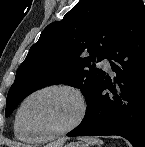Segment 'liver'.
<instances>
[{
	"mask_svg": "<svg viewBox=\"0 0 145 147\" xmlns=\"http://www.w3.org/2000/svg\"><path fill=\"white\" fill-rule=\"evenodd\" d=\"M65 139H59L55 142L50 143L46 147H63Z\"/></svg>",
	"mask_w": 145,
	"mask_h": 147,
	"instance_id": "obj_1",
	"label": "liver"
}]
</instances>
